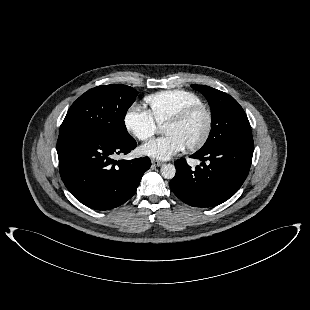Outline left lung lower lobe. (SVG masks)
<instances>
[{
	"instance_id": "0a47b994",
	"label": "left lung lower lobe",
	"mask_w": 310,
	"mask_h": 310,
	"mask_svg": "<svg viewBox=\"0 0 310 310\" xmlns=\"http://www.w3.org/2000/svg\"><path fill=\"white\" fill-rule=\"evenodd\" d=\"M252 137L223 143L215 148L197 151L191 158L200 159L196 170L185 159L175 161L176 175L170 181L173 193L188 205L211 207L233 196L245 181L251 166ZM209 161L206 165L204 161Z\"/></svg>"
}]
</instances>
